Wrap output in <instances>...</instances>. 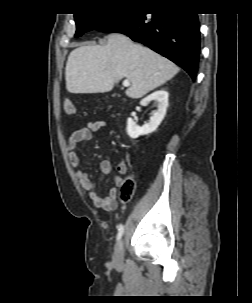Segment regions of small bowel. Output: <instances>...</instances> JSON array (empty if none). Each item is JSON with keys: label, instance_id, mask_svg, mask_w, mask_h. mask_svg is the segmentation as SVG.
I'll use <instances>...</instances> for the list:
<instances>
[{"label": "small bowel", "instance_id": "small-bowel-1", "mask_svg": "<svg viewBox=\"0 0 252 303\" xmlns=\"http://www.w3.org/2000/svg\"><path fill=\"white\" fill-rule=\"evenodd\" d=\"M108 126L104 120L88 121L86 125L75 130L70 135L67 151L71 166L73 167L75 176L81 188L88 193L90 200L96 207L104 210H114L117 206V188L121 187L122 175L126 172L127 166L121 161L117 166V173L113 175V186L109 189L107 196L101 197L97 190L93 179L81 169L80 159L77 148L80 143L86 142L92 138L93 133L106 129ZM100 170L103 174H110L112 163L109 160L100 162Z\"/></svg>", "mask_w": 252, "mask_h": 303}]
</instances>
